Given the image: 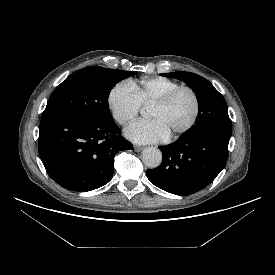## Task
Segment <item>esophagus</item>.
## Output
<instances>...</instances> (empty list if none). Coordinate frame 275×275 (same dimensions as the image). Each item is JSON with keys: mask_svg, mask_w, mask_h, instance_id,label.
Instances as JSON below:
<instances>
[{"mask_svg": "<svg viewBox=\"0 0 275 275\" xmlns=\"http://www.w3.org/2000/svg\"><path fill=\"white\" fill-rule=\"evenodd\" d=\"M134 150H135L136 152H140L141 150H143V147L138 146V145H135V146H134Z\"/></svg>", "mask_w": 275, "mask_h": 275, "instance_id": "34e87169", "label": "esophagus"}]
</instances>
